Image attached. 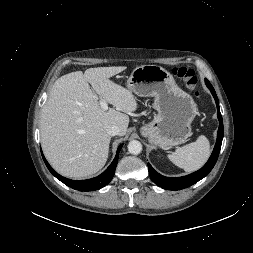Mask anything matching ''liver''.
I'll return each mask as SVG.
<instances>
[{"instance_id":"liver-1","label":"liver","mask_w":253,"mask_h":253,"mask_svg":"<svg viewBox=\"0 0 253 253\" xmlns=\"http://www.w3.org/2000/svg\"><path fill=\"white\" fill-rule=\"evenodd\" d=\"M125 69L89 68L55 81L42 108L40 134L45 157L59 174L82 178L97 173L109 154L108 127L117 125L119 135L126 134L128 114L138 104L130 90L110 80ZM95 93L114 108L104 111Z\"/></svg>"}]
</instances>
